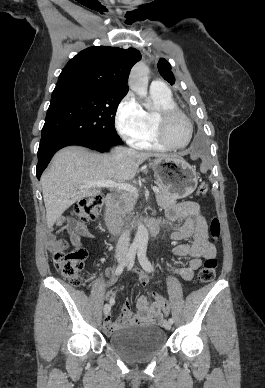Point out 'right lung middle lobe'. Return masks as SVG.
I'll return each mask as SVG.
<instances>
[{"label":"right lung middle lobe","mask_w":265,"mask_h":388,"mask_svg":"<svg viewBox=\"0 0 265 388\" xmlns=\"http://www.w3.org/2000/svg\"><path fill=\"white\" fill-rule=\"evenodd\" d=\"M127 93L116 90H73L52 93L41 141L58 135H78L96 144H123L114 116Z\"/></svg>","instance_id":"right-lung-middle-lobe-1"}]
</instances>
